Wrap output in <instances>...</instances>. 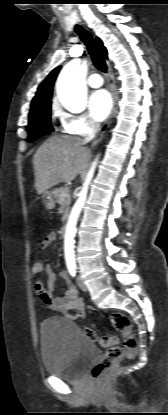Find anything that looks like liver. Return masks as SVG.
Instances as JSON below:
<instances>
[{
  "label": "liver",
  "mask_w": 168,
  "mask_h": 415,
  "mask_svg": "<svg viewBox=\"0 0 168 415\" xmlns=\"http://www.w3.org/2000/svg\"><path fill=\"white\" fill-rule=\"evenodd\" d=\"M90 156V151L79 137H50L33 157L37 193L43 194L60 182L74 180Z\"/></svg>",
  "instance_id": "1"
}]
</instances>
